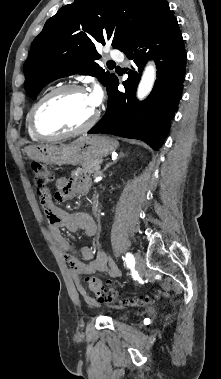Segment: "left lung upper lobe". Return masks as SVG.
Segmentation results:
<instances>
[{
	"label": "left lung upper lobe",
	"mask_w": 221,
	"mask_h": 379,
	"mask_svg": "<svg viewBox=\"0 0 221 379\" xmlns=\"http://www.w3.org/2000/svg\"><path fill=\"white\" fill-rule=\"evenodd\" d=\"M166 0H75L45 24L24 64L25 89L36 99L48 83L73 74L91 75L107 87L117 78L105 72L97 43L112 41L123 51L155 18Z\"/></svg>",
	"instance_id": "1"
}]
</instances>
